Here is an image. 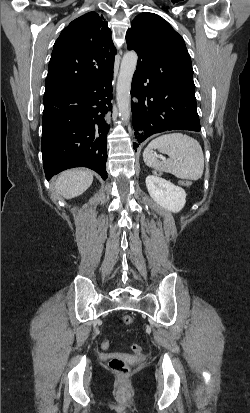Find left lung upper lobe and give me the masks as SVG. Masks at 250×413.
<instances>
[{"label": "left lung upper lobe", "instance_id": "1", "mask_svg": "<svg viewBox=\"0 0 250 413\" xmlns=\"http://www.w3.org/2000/svg\"><path fill=\"white\" fill-rule=\"evenodd\" d=\"M126 42L129 50L137 52L139 65L152 76L193 82L191 58L183 38L159 15L144 12L136 16Z\"/></svg>", "mask_w": 250, "mask_h": 413}]
</instances>
